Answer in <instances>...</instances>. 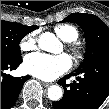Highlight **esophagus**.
Here are the masks:
<instances>
[{"label":"esophagus","mask_w":109,"mask_h":109,"mask_svg":"<svg viewBox=\"0 0 109 109\" xmlns=\"http://www.w3.org/2000/svg\"><path fill=\"white\" fill-rule=\"evenodd\" d=\"M42 84H43L44 87H48V86L51 85V83H45V82H43Z\"/></svg>","instance_id":"obj_1"}]
</instances>
